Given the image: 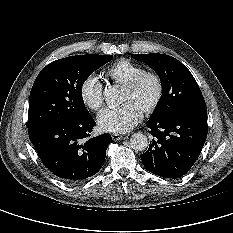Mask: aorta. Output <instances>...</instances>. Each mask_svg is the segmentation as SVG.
<instances>
[{"label":"aorta","mask_w":233,"mask_h":233,"mask_svg":"<svg viewBox=\"0 0 233 233\" xmlns=\"http://www.w3.org/2000/svg\"><path fill=\"white\" fill-rule=\"evenodd\" d=\"M104 98L109 108H114L120 104L121 96L117 86H106L104 89ZM130 147L138 151H144L148 147V138L138 132L131 136Z\"/></svg>","instance_id":"obj_1"}]
</instances>
